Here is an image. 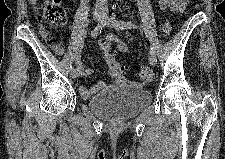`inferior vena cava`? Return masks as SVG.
I'll return each instance as SVG.
<instances>
[{
    "label": "inferior vena cava",
    "mask_w": 225,
    "mask_h": 159,
    "mask_svg": "<svg viewBox=\"0 0 225 159\" xmlns=\"http://www.w3.org/2000/svg\"><path fill=\"white\" fill-rule=\"evenodd\" d=\"M107 0H97L96 5L97 6H107Z\"/></svg>",
    "instance_id": "602c4592"
}]
</instances>
